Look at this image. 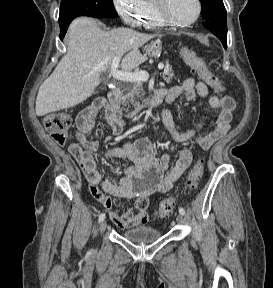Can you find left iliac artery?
<instances>
[{
    "instance_id": "left-iliac-artery-1",
    "label": "left iliac artery",
    "mask_w": 273,
    "mask_h": 288,
    "mask_svg": "<svg viewBox=\"0 0 273 288\" xmlns=\"http://www.w3.org/2000/svg\"><path fill=\"white\" fill-rule=\"evenodd\" d=\"M179 213H180V214H182V215H184V214H185V210H184V208H183V207H180V208H179Z\"/></svg>"
}]
</instances>
